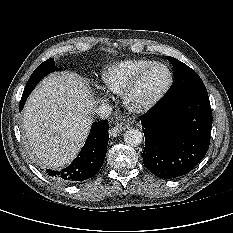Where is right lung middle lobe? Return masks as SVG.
Here are the masks:
<instances>
[{"instance_id": "dd1d6c3e", "label": "right lung middle lobe", "mask_w": 233, "mask_h": 233, "mask_svg": "<svg viewBox=\"0 0 233 233\" xmlns=\"http://www.w3.org/2000/svg\"><path fill=\"white\" fill-rule=\"evenodd\" d=\"M58 68L55 66V62L54 59L50 58L46 61H44L43 63L40 64V66H38L35 71L32 73V75L30 76L25 90L28 91H32L34 89V87L38 84V82L47 74L57 71Z\"/></svg>"}]
</instances>
